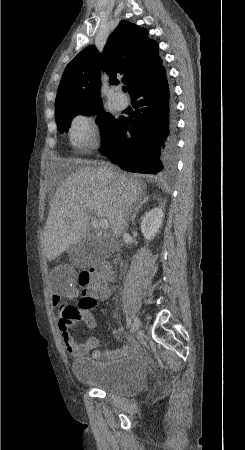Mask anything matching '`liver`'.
Masks as SVG:
<instances>
[{
    "label": "liver",
    "instance_id": "6515ba94",
    "mask_svg": "<svg viewBox=\"0 0 245 450\" xmlns=\"http://www.w3.org/2000/svg\"><path fill=\"white\" fill-rule=\"evenodd\" d=\"M114 177L105 179L99 169L90 166L66 176L54 194L44 227V251L49 261L84 240L89 214L106 218L116 236L126 229L146 185L121 173Z\"/></svg>",
    "mask_w": 245,
    "mask_h": 450
}]
</instances>
